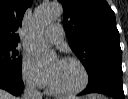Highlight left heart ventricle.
I'll list each match as a JSON object with an SVG mask.
<instances>
[{"instance_id":"obj_1","label":"left heart ventricle","mask_w":128,"mask_h":99,"mask_svg":"<svg viewBox=\"0 0 128 99\" xmlns=\"http://www.w3.org/2000/svg\"><path fill=\"white\" fill-rule=\"evenodd\" d=\"M48 72L56 87L63 91L74 90L83 82L82 71L74 62L54 60L50 64Z\"/></svg>"}]
</instances>
